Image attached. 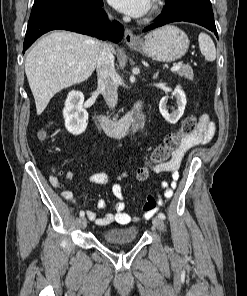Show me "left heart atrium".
Returning <instances> with one entry per match:
<instances>
[{"label": "left heart atrium", "mask_w": 247, "mask_h": 296, "mask_svg": "<svg viewBox=\"0 0 247 296\" xmlns=\"http://www.w3.org/2000/svg\"><path fill=\"white\" fill-rule=\"evenodd\" d=\"M118 11L132 17H141L150 8L151 0H108Z\"/></svg>", "instance_id": "left-heart-atrium-1"}]
</instances>
